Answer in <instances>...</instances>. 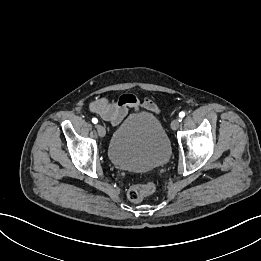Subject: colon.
<instances>
[{
    "instance_id": "colon-1",
    "label": "colon",
    "mask_w": 261,
    "mask_h": 261,
    "mask_svg": "<svg viewBox=\"0 0 261 261\" xmlns=\"http://www.w3.org/2000/svg\"><path fill=\"white\" fill-rule=\"evenodd\" d=\"M155 189L153 182H147L145 184L132 185L127 193L128 199L132 202H140L145 197L150 195Z\"/></svg>"
}]
</instances>
